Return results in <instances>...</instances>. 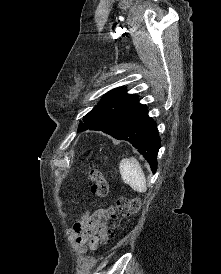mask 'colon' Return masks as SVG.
Masks as SVG:
<instances>
[{"mask_svg":"<svg viewBox=\"0 0 221 274\" xmlns=\"http://www.w3.org/2000/svg\"><path fill=\"white\" fill-rule=\"evenodd\" d=\"M88 177L91 181V192L99 197H104L108 193L107 182L101 173L96 168L90 167ZM140 208V201L138 198H125L117 199L115 204L106 210L104 221L99 230V237L102 244H108L114 237V232L111 229V221L119 218L129 217L138 212Z\"/></svg>","mask_w":221,"mask_h":274,"instance_id":"colon-1","label":"colon"}]
</instances>
